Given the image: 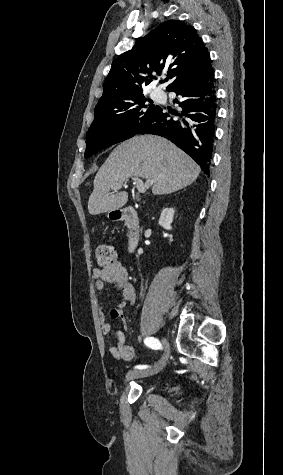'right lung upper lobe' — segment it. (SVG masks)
Here are the masks:
<instances>
[{
	"mask_svg": "<svg viewBox=\"0 0 283 475\" xmlns=\"http://www.w3.org/2000/svg\"><path fill=\"white\" fill-rule=\"evenodd\" d=\"M211 68L209 53L194 27L178 20L166 21L113 61L95 108L142 95V86L156 79L155 73H167L168 91Z\"/></svg>",
	"mask_w": 283,
	"mask_h": 475,
	"instance_id": "obj_1",
	"label": "right lung upper lobe"
}]
</instances>
